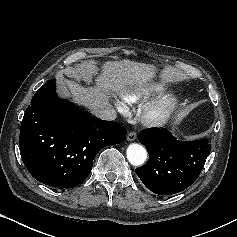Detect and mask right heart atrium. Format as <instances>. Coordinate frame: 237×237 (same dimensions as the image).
Listing matches in <instances>:
<instances>
[{"label":"right heart atrium","mask_w":237,"mask_h":237,"mask_svg":"<svg viewBox=\"0 0 237 237\" xmlns=\"http://www.w3.org/2000/svg\"><path fill=\"white\" fill-rule=\"evenodd\" d=\"M118 106L122 109L121 105H118Z\"/></svg>","instance_id":"1"}]
</instances>
